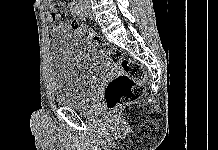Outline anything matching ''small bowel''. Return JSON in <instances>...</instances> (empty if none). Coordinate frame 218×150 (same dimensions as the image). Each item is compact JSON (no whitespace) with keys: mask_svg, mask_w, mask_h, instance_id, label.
Here are the masks:
<instances>
[{"mask_svg":"<svg viewBox=\"0 0 218 150\" xmlns=\"http://www.w3.org/2000/svg\"><path fill=\"white\" fill-rule=\"evenodd\" d=\"M45 16L50 22L49 31L51 33L66 32L71 28V25L66 22L56 24L55 21L60 17V14L53 4V0H44ZM70 10L77 15V8L70 4Z\"/></svg>","mask_w":218,"mask_h":150,"instance_id":"c3829d8e","label":"small bowel"}]
</instances>
